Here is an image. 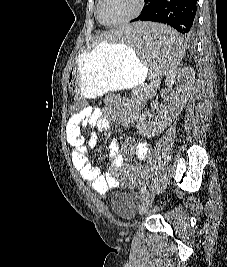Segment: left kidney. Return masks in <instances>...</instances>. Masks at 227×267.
Listing matches in <instances>:
<instances>
[{
    "label": "left kidney",
    "mask_w": 227,
    "mask_h": 267,
    "mask_svg": "<svg viewBox=\"0 0 227 267\" xmlns=\"http://www.w3.org/2000/svg\"><path fill=\"white\" fill-rule=\"evenodd\" d=\"M194 79L195 72L191 67L179 68L174 71V77L166 78L165 85L171 91L169 104L160 108L156 119L148 110L142 113L138 129L144 136L152 137L161 133L179 115L191 93Z\"/></svg>",
    "instance_id": "5707ae66"
}]
</instances>
